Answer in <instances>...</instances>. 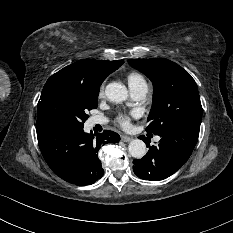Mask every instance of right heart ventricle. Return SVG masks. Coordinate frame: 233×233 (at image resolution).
<instances>
[{
  "mask_svg": "<svg viewBox=\"0 0 233 233\" xmlns=\"http://www.w3.org/2000/svg\"><path fill=\"white\" fill-rule=\"evenodd\" d=\"M127 81H128L130 88L138 87V86H142V85L147 86L144 77L140 73H137V72L129 73L127 75Z\"/></svg>",
  "mask_w": 233,
  "mask_h": 233,
  "instance_id": "1",
  "label": "right heart ventricle"
}]
</instances>
